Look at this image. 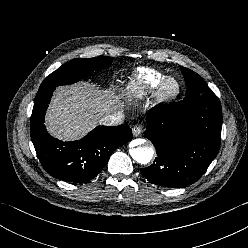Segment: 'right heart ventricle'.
Returning a JSON list of instances; mask_svg holds the SVG:
<instances>
[{"label":"right heart ventricle","mask_w":248,"mask_h":248,"mask_svg":"<svg viewBox=\"0 0 248 248\" xmlns=\"http://www.w3.org/2000/svg\"><path fill=\"white\" fill-rule=\"evenodd\" d=\"M165 77L166 75L164 73L154 69H140L136 76L137 88L141 92L156 89Z\"/></svg>","instance_id":"1"}]
</instances>
